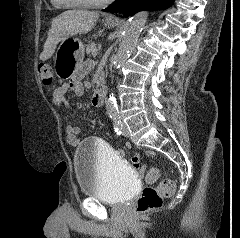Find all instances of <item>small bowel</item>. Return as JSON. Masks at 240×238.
Instances as JSON below:
<instances>
[{
  "label": "small bowel",
  "mask_w": 240,
  "mask_h": 238,
  "mask_svg": "<svg viewBox=\"0 0 240 238\" xmlns=\"http://www.w3.org/2000/svg\"><path fill=\"white\" fill-rule=\"evenodd\" d=\"M93 66L92 62H86L81 68V74L87 73ZM72 90L77 96H82L84 93V87L79 79H74L70 82L62 83L57 88L53 89L51 94L52 103L57 107L69 108L70 104L65 94ZM81 129L75 125L66 126V140L71 146H77L79 144L78 135ZM124 148H134V143H124ZM126 149H119V154H126ZM142 151H135V156H130V166L135 167L137 174H146L147 166H143L141 161Z\"/></svg>",
  "instance_id": "c3829d8e"
}]
</instances>
